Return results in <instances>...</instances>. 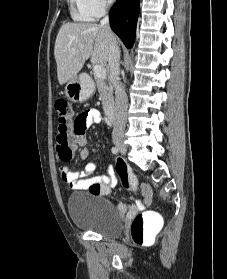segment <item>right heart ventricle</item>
<instances>
[{
	"label": "right heart ventricle",
	"mask_w": 227,
	"mask_h": 279,
	"mask_svg": "<svg viewBox=\"0 0 227 279\" xmlns=\"http://www.w3.org/2000/svg\"><path fill=\"white\" fill-rule=\"evenodd\" d=\"M71 3V15L77 21H90L93 16L86 8L84 0H69Z\"/></svg>",
	"instance_id": "1"
}]
</instances>
